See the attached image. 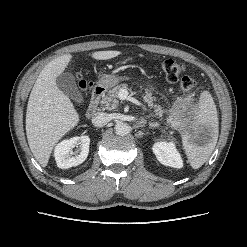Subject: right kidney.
Instances as JSON below:
<instances>
[{
    "mask_svg": "<svg viewBox=\"0 0 247 247\" xmlns=\"http://www.w3.org/2000/svg\"><path fill=\"white\" fill-rule=\"evenodd\" d=\"M90 138L88 136L73 137L60 142L54 150L57 166L61 169L78 166L83 163L89 153ZM79 147V153L71 156V150Z\"/></svg>",
    "mask_w": 247,
    "mask_h": 247,
    "instance_id": "1",
    "label": "right kidney"
}]
</instances>
